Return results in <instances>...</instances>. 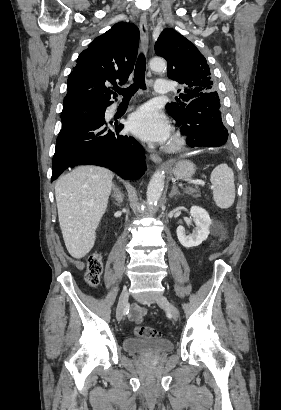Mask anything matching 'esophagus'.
<instances>
[{"mask_svg":"<svg viewBox=\"0 0 281 410\" xmlns=\"http://www.w3.org/2000/svg\"><path fill=\"white\" fill-rule=\"evenodd\" d=\"M139 30H140V35H141L142 48H143L144 53L146 54L148 51L149 34H148L147 18H146L145 13H143L140 17ZM150 159L157 164L162 163V159L157 153H150Z\"/></svg>","mask_w":281,"mask_h":410,"instance_id":"1","label":"esophagus"}]
</instances>
